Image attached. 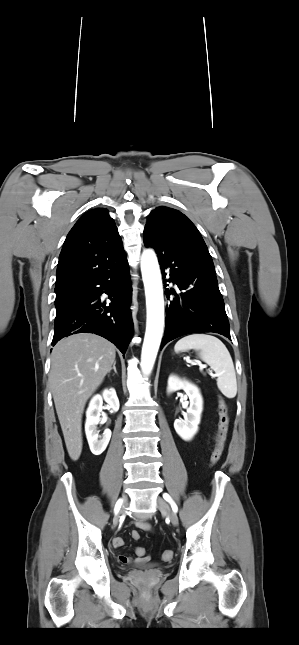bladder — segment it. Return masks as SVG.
I'll return each mask as SVG.
<instances>
[{"label": "bladder", "instance_id": "obj_1", "mask_svg": "<svg viewBox=\"0 0 299 645\" xmlns=\"http://www.w3.org/2000/svg\"><path fill=\"white\" fill-rule=\"evenodd\" d=\"M158 566L159 564L154 562H145V563H140L136 565L137 568H141V569H150Z\"/></svg>", "mask_w": 299, "mask_h": 645}]
</instances>
